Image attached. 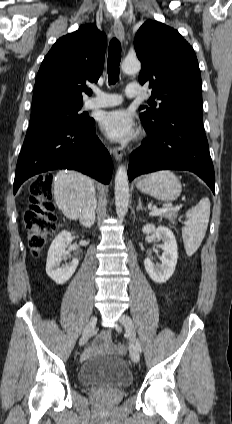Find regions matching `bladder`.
<instances>
[{
  "instance_id": "obj_1",
  "label": "bladder",
  "mask_w": 232,
  "mask_h": 424,
  "mask_svg": "<svg viewBox=\"0 0 232 424\" xmlns=\"http://www.w3.org/2000/svg\"><path fill=\"white\" fill-rule=\"evenodd\" d=\"M78 380L85 386L109 384L127 387L132 384L133 376L123 359L99 356L81 365Z\"/></svg>"
}]
</instances>
